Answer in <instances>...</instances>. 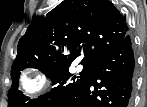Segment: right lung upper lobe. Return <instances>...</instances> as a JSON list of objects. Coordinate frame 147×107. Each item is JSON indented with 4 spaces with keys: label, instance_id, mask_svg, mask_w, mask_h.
<instances>
[{
    "label": "right lung upper lobe",
    "instance_id": "right-lung-upper-lobe-1",
    "mask_svg": "<svg viewBox=\"0 0 147 107\" xmlns=\"http://www.w3.org/2000/svg\"><path fill=\"white\" fill-rule=\"evenodd\" d=\"M55 12V16L52 13ZM128 33L126 19L108 0H64L46 18H34L18 44L12 68L28 63L58 68L84 51L80 62L95 66Z\"/></svg>",
    "mask_w": 147,
    "mask_h": 107
}]
</instances>
